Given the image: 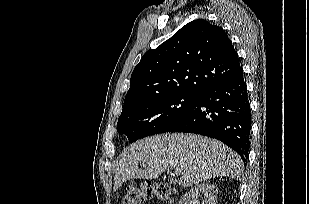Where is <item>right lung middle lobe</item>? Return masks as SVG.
<instances>
[{
  "mask_svg": "<svg viewBox=\"0 0 309 204\" xmlns=\"http://www.w3.org/2000/svg\"><path fill=\"white\" fill-rule=\"evenodd\" d=\"M198 96L170 93L124 104L118 119L117 131L124 133L130 143L146 136L163 133L191 109Z\"/></svg>",
  "mask_w": 309,
  "mask_h": 204,
  "instance_id": "obj_1",
  "label": "right lung middle lobe"
}]
</instances>
